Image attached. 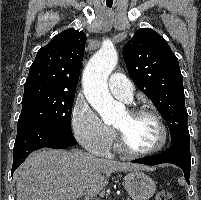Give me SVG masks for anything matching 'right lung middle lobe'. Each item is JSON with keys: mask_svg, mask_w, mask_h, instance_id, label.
<instances>
[{"mask_svg": "<svg viewBox=\"0 0 201 200\" xmlns=\"http://www.w3.org/2000/svg\"><path fill=\"white\" fill-rule=\"evenodd\" d=\"M75 94L55 91L26 92L18 127L31 123H46L65 132L71 131V112Z\"/></svg>", "mask_w": 201, "mask_h": 200, "instance_id": "obj_1", "label": "right lung middle lobe"}]
</instances>
